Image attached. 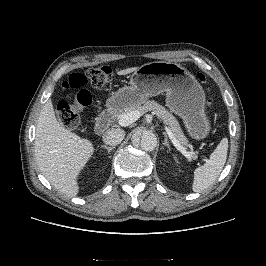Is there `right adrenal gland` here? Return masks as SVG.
Segmentation results:
<instances>
[{
	"mask_svg": "<svg viewBox=\"0 0 266 266\" xmlns=\"http://www.w3.org/2000/svg\"><path fill=\"white\" fill-rule=\"evenodd\" d=\"M102 148L106 149L108 151V153H110L111 150H113L115 147H110V146H106V145H102Z\"/></svg>",
	"mask_w": 266,
	"mask_h": 266,
	"instance_id": "2a0ac1e0",
	"label": "right adrenal gland"
}]
</instances>
